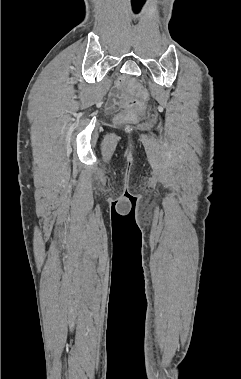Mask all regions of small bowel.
<instances>
[{"instance_id":"c3829d8e","label":"small bowel","mask_w":241,"mask_h":379,"mask_svg":"<svg viewBox=\"0 0 241 379\" xmlns=\"http://www.w3.org/2000/svg\"><path fill=\"white\" fill-rule=\"evenodd\" d=\"M116 104V99L114 95H111L109 100H108V106L113 107Z\"/></svg>"}]
</instances>
